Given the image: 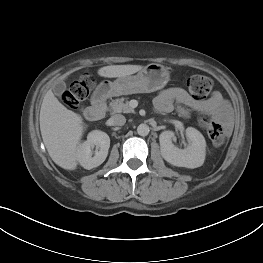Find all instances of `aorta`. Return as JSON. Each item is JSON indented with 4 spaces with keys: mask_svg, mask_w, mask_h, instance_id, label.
Here are the masks:
<instances>
[{
    "mask_svg": "<svg viewBox=\"0 0 263 263\" xmlns=\"http://www.w3.org/2000/svg\"><path fill=\"white\" fill-rule=\"evenodd\" d=\"M149 131H150V128L147 124H140L138 127H137V133L140 135V136H147L149 134Z\"/></svg>",
    "mask_w": 263,
    "mask_h": 263,
    "instance_id": "1",
    "label": "aorta"
}]
</instances>
